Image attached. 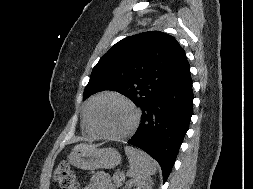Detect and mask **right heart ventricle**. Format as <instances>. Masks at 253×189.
I'll return each mask as SVG.
<instances>
[{
    "label": "right heart ventricle",
    "instance_id": "1",
    "mask_svg": "<svg viewBox=\"0 0 253 189\" xmlns=\"http://www.w3.org/2000/svg\"><path fill=\"white\" fill-rule=\"evenodd\" d=\"M91 102L92 101H89L84 107L82 123H83L84 130L86 131L87 134H89L90 136H96L97 134L91 128L89 124V120H88V110H89Z\"/></svg>",
    "mask_w": 253,
    "mask_h": 189
}]
</instances>
